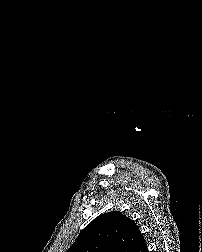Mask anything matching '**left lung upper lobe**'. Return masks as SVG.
I'll return each instance as SVG.
<instances>
[{
	"mask_svg": "<svg viewBox=\"0 0 202 252\" xmlns=\"http://www.w3.org/2000/svg\"><path fill=\"white\" fill-rule=\"evenodd\" d=\"M140 235L135 221L119 211L96 217L66 252H134Z\"/></svg>",
	"mask_w": 202,
	"mask_h": 252,
	"instance_id": "1",
	"label": "left lung upper lobe"
}]
</instances>
